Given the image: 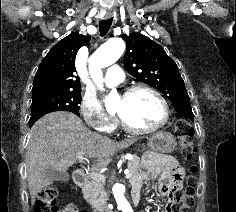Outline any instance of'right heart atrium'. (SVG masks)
I'll list each match as a JSON object with an SVG mask.
<instances>
[{
    "label": "right heart atrium",
    "mask_w": 236,
    "mask_h": 212,
    "mask_svg": "<svg viewBox=\"0 0 236 212\" xmlns=\"http://www.w3.org/2000/svg\"><path fill=\"white\" fill-rule=\"evenodd\" d=\"M80 113L86 124L97 131L110 132L114 128L115 118L105 112L95 96H83L80 102Z\"/></svg>",
    "instance_id": "obj_1"
}]
</instances>
